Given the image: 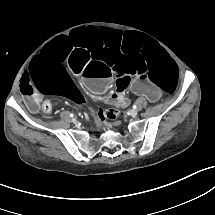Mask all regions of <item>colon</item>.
<instances>
[{"label":"colon","instance_id":"obj_1","mask_svg":"<svg viewBox=\"0 0 215 215\" xmlns=\"http://www.w3.org/2000/svg\"><path fill=\"white\" fill-rule=\"evenodd\" d=\"M42 107H43V111L46 114L51 113L52 104H51L50 100H45L42 104ZM101 114L103 117H106V118H115L118 116L119 112L117 110L111 109V110H103L101 112Z\"/></svg>","mask_w":215,"mask_h":215}]
</instances>
